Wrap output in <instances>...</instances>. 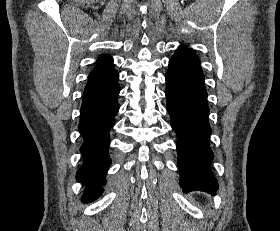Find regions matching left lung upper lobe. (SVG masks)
I'll return each mask as SVG.
<instances>
[{"mask_svg":"<svg viewBox=\"0 0 280 231\" xmlns=\"http://www.w3.org/2000/svg\"><path fill=\"white\" fill-rule=\"evenodd\" d=\"M169 69L182 72H202L198 57L185 46H180L169 61Z\"/></svg>","mask_w":280,"mask_h":231,"instance_id":"1","label":"left lung upper lobe"}]
</instances>
